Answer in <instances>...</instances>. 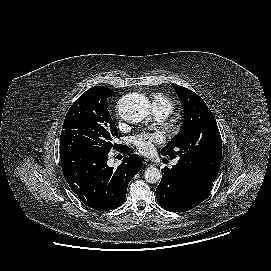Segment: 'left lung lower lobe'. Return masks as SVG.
<instances>
[{"label":"left lung lower lobe","instance_id":"obj_1","mask_svg":"<svg viewBox=\"0 0 271 271\" xmlns=\"http://www.w3.org/2000/svg\"><path fill=\"white\" fill-rule=\"evenodd\" d=\"M213 182L176 164L162 170L156 189L158 204L171 212H185L200 204L210 194Z\"/></svg>","mask_w":271,"mask_h":271}]
</instances>
